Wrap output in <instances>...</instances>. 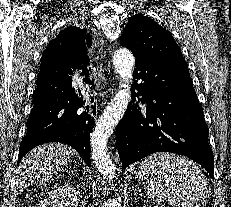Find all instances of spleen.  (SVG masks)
Instances as JSON below:
<instances>
[{"label":"spleen","mask_w":231,"mask_h":207,"mask_svg":"<svg viewBox=\"0 0 231 207\" xmlns=\"http://www.w3.org/2000/svg\"><path fill=\"white\" fill-rule=\"evenodd\" d=\"M137 175L146 181L147 194L152 200H168L174 207H198L210 194L208 181L198 166L168 152L145 158Z\"/></svg>","instance_id":"1"}]
</instances>
